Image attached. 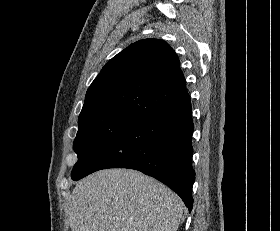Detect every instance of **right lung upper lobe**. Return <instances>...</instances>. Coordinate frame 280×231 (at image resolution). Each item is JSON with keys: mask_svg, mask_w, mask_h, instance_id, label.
<instances>
[{"mask_svg": "<svg viewBox=\"0 0 280 231\" xmlns=\"http://www.w3.org/2000/svg\"><path fill=\"white\" fill-rule=\"evenodd\" d=\"M185 85L173 49L163 40H140L102 68L88 88L79 119L120 117L141 121L189 102Z\"/></svg>", "mask_w": 280, "mask_h": 231, "instance_id": "obj_1", "label": "right lung upper lobe"}]
</instances>
